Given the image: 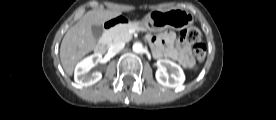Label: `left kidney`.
Returning a JSON list of instances; mask_svg holds the SVG:
<instances>
[{
	"instance_id": "obj_1",
	"label": "left kidney",
	"mask_w": 276,
	"mask_h": 120,
	"mask_svg": "<svg viewBox=\"0 0 276 120\" xmlns=\"http://www.w3.org/2000/svg\"><path fill=\"white\" fill-rule=\"evenodd\" d=\"M157 66L158 69L155 76L159 84L170 88H177L184 83L185 74L178 64L168 59H159ZM166 69L171 71L170 76L165 73Z\"/></svg>"
}]
</instances>
